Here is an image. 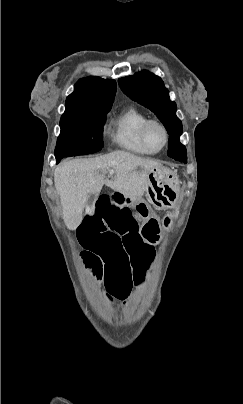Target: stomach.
Returning a JSON list of instances; mask_svg holds the SVG:
<instances>
[{
	"mask_svg": "<svg viewBox=\"0 0 243 404\" xmlns=\"http://www.w3.org/2000/svg\"><path fill=\"white\" fill-rule=\"evenodd\" d=\"M179 180L177 175L162 165L152 168L148 173L146 195L150 203L157 208H166L172 204L177 196ZM132 207L142 219L141 237L150 244L159 242L162 229H169L171 218L166 216L160 220L151 206L144 200L137 198L132 201Z\"/></svg>",
	"mask_w": 243,
	"mask_h": 404,
	"instance_id": "stomach-1",
	"label": "stomach"
}]
</instances>
